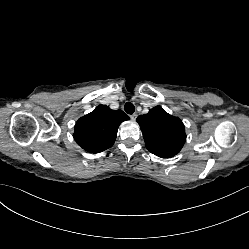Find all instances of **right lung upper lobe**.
Listing matches in <instances>:
<instances>
[{
	"instance_id": "cb5924a9",
	"label": "right lung upper lobe",
	"mask_w": 249,
	"mask_h": 249,
	"mask_svg": "<svg viewBox=\"0 0 249 249\" xmlns=\"http://www.w3.org/2000/svg\"><path fill=\"white\" fill-rule=\"evenodd\" d=\"M129 119L122 110L99 105L78 119L73 137L84 150L102 152L114 144L120 124Z\"/></svg>"
}]
</instances>
